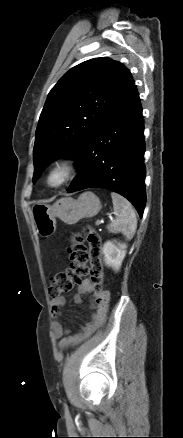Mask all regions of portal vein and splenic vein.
Instances as JSON below:
<instances>
[{
    "instance_id": "obj_1",
    "label": "portal vein and splenic vein",
    "mask_w": 183,
    "mask_h": 438,
    "mask_svg": "<svg viewBox=\"0 0 183 438\" xmlns=\"http://www.w3.org/2000/svg\"><path fill=\"white\" fill-rule=\"evenodd\" d=\"M103 223H104L103 220H97V221H96V224H98V225L103 224Z\"/></svg>"
}]
</instances>
